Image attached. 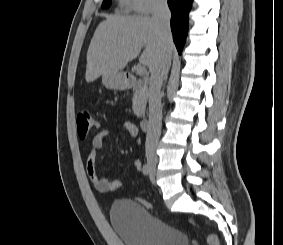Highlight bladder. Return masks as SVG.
Wrapping results in <instances>:
<instances>
[{"label": "bladder", "instance_id": "obj_1", "mask_svg": "<svg viewBox=\"0 0 283 245\" xmlns=\"http://www.w3.org/2000/svg\"><path fill=\"white\" fill-rule=\"evenodd\" d=\"M113 229L125 245H189L180 230L154 217L139 202L118 199L110 208Z\"/></svg>", "mask_w": 283, "mask_h": 245}]
</instances>
